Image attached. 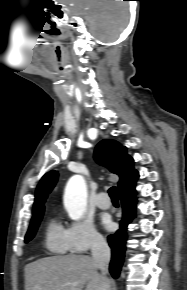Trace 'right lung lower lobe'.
Masks as SVG:
<instances>
[{"instance_id": "right-lung-lower-lobe-1", "label": "right lung lower lobe", "mask_w": 187, "mask_h": 290, "mask_svg": "<svg viewBox=\"0 0 187 290\" xmlns=\"http://www.w3.org/2000/svg\"><path fill=\"white\" fill-rule=\"evenodd\" d=\"M122 201L123 217L120 221V229L115 234L108 236V243L112 249V258L109 271L114 278L119 277V272L123 263L125 243L127 239V226L135 217L136 198L133 196L120 197Z\"/></svg>"}]
</instances>
